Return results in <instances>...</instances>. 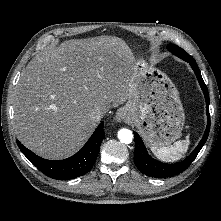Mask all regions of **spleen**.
I'll return each instance as SVG.
<instances>
[{
	"instance_id": "spleen-1",
	"label": "spleen",
	"mask_w": 221,
	"mask_h": 221,
	"mask_svg": "<svg viewBox=\"0 0 221 221\" xmlns=\"http://www.w3.org/2000/svg\"><path fill=\"white\" fill-rule=\"evenodd\" d=\"M189 144L190 141L188 135L185 140L176 141L173 145L152 146L150 149L161 161L175 162L179 160L185 152H187Z\"/></svg>"
}]
</instances>
